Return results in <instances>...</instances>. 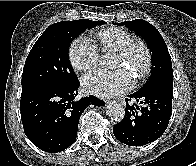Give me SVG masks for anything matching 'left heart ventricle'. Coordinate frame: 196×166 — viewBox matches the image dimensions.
<instances>
[{"label": "left heart ventricle", "instance_id": "1", "mask_svg": "<svg viewBox=\"0 0 196 166\" xmlns=\"http://www.w3.org/2000/svg\"><path fill=\"white\" fill-rule=\"evenodd\" d=\"M144 55L141 50H137L130 60H123L118 55L113 61V68H123L127 70L132 76H135L140 67L143 65Z\"/></svg>", "mask_w": 196, "mask_h": 166}]
</instances>
